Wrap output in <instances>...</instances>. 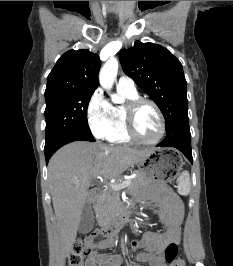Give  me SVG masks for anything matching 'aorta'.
<instances>
[{"label": "aorta", "mask_w": 233, "mask_h": 266, "mask_svg": "<svg viewBox=\"0 0 233 266\" xmlns=\"http://www.w3.org/2000/svg\"><path fill=\"white\" fill-rule=\"evenodd\" d=\"M118 72V61L115 58H110L99 73V82L101 86L109 92L114 84ZM111 99L114 103H122L123 99L118 95H111Z\"/></svg>", "instance_id": "762f6f07"}]
</instances>
